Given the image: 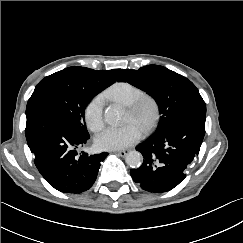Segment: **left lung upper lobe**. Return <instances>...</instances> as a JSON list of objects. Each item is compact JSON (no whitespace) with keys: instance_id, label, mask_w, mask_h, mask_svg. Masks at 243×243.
Wrapping results in <instances>:
<instances>
[{"instance_id":"obj_1","label":"left lung upper lobe","mask_w":243,"mask_h":243,"mask_svg":"<svg viewBox=\"0 0 243 243\" xmlns=\"http://www.w3.org/2000/svg\"><path fill=\"white\" fill-rule=\"evenodd\" d=\"M118 81L128 82L156 100L160 120L151 137L160 136L182 113L206 107L198 89L190 80L163 66L147 65L138 70L125 69Z\"/></svg>"}]
</instances>
